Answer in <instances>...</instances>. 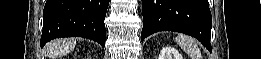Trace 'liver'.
I'll return each instance as SVG.
<instances>
[{"label": "liver", "mask_w": 261, "mask_h": 59, "mask_svg": "<svg viewBox=\"0 0 261 59\" xmlns=\"http://www.w3.org/2000/svg\"><path fill=\"white\" fill-rule=\"evenodd\" d=\"M76 45L75 40H59L48 44V56L56 59L58 56L69 53Z\"/></svg>", "instance_id": "liver-1"}]
</instances>
